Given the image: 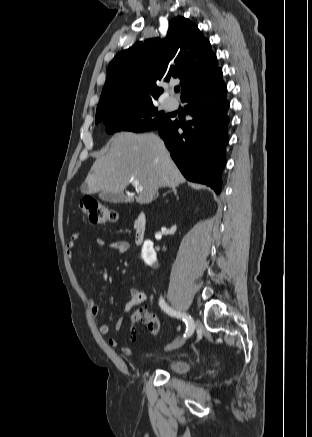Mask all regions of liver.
<instances>
[{"label":"liver","instance_id":"obj_1","mask_svg":"<svg viewBox=\"0 0 312 437\" xmlns=\"http://www.w3.org/2000/svg\"><path fill=\"white\" fill-rule=\"evenodd\" d=\"M133 180L143 186L136 197L139 204L152 202L159 188L176 187L185 182L159 136L121 132L111 138L108 153L92 165L82 192L121 194Z\"/></svg>","mask_w":312,"mask_h":437}]
</instances>
